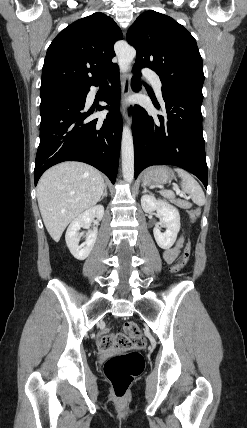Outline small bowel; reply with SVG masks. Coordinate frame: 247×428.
I'll list each match as a JSON object with an SVG mask.
<instances>
[{"label":"small bowel","mask_w":247,"mask_h":428,"mask_svg":"<svg viewBox=\"0 0 247 428\" xmlns=\"http://www.w3.org/2000/svg\"><path fill=\"white\" fill-rule=\"evenodd\" d=\"M182 245L183 239L179 237L173 247L168 248L164 251V260L169 264L173 263L177 259Z\"/></svg>","instance_id":"c3829d8e"}]
</instances>
